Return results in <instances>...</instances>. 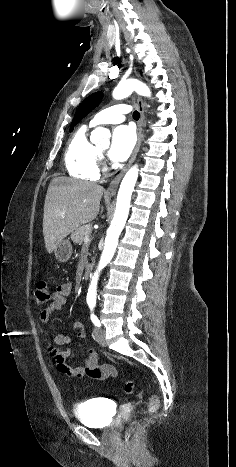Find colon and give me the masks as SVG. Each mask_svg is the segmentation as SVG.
I'll list each match as a JSON object with an SVG mask.
<instances>
[{
    "instance_id": "1",
    "label": "colon",
    "mask_w": 236,
    "mask_h": 467,
    "mask_svg": "<svg viewBox=\"0 0 236 467\" xmlns=\"http://www.w3.org/2000/svg\"><path fill=\"white\" fill-rule=\"evenodd\" d=\"M35 298L38 305L43 306L45 305L51 298V291L50 288L45 281H39L35 287ZM106 371H103V374H106ZM135 383L133 381H128L124 386V392L126 394H131L134 392ZM158 406V398L157 396H152L149 401V410L154 411ZM140 426L139 422H134L129 425L124 433V441L126 443L131 442L132 435L136 429Z\"/></svg>"
}]
</instances>
